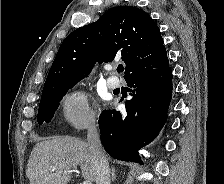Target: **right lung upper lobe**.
I'll return each mask as SVG.
<instances>
[{"mask_svg": "<svg viewBox=\"0 0 224 184\" xmlns=\"http://www.w3.org/2000/svg\"><path fill=\"white\" fill-rule=\"evenodd\" d=\"M163 43L158 26L146 12L132 6L114 7L65 38L41 98L76 84L95 62H111L118 56L126 64L125 80L159 68L169 62Z\"/></svg>", "mask_w": 224, "mask_h": 184, "instance_id": "obj_1", "label": "right lung upper lobe"}]
</instances>
